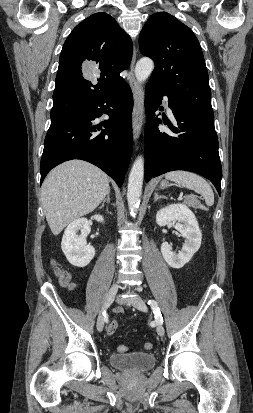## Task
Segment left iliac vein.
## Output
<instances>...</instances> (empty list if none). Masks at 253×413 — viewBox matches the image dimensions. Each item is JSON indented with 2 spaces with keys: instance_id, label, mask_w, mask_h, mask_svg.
<instances>
[{
  "instance_id": "obj_1",
  "label": "left iliac vein",
  "mask_w": 253,
  "mask_h": 413,
  "mask_svg": "<svg viewBox=\"0 0 253 413\" xmlns=\"http://www.w3.org/2000/svg\"><path fill=\"white\" fill-rule=\"evenodd\" d=\"M130 302L132 303V305L136 309H138L140 311H143V312L147 311V306H146V304L144 303V301L142 300L141 297L134 296V297L130 298ZM156 331H157V334L159 336H164V334H165L164 327L159 321L157 322Z\"/></svg>"
}]
</instances>
